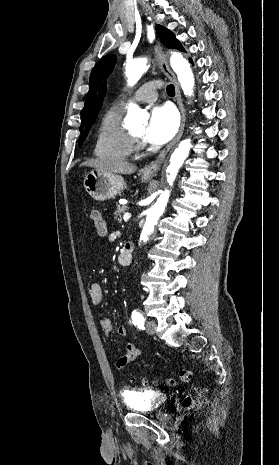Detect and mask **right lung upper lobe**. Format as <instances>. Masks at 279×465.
I'll list each match as a JSON object with an SVG mask.
<instances>
[{
  "label": "right lung upper lobe",
  "instance_id": "right-lung-upper-lobe-1",
  "mask_svg": "<svg viewBox=\"0 0 279 465\" xmlns=\"http://www.w3.org/2000/svg\"><path fill=\"white\" fill-rule=\"evenodd\" d=\"M105 93H106V84L104 83L100 90H99V94L97 96V99H96V102H95V105H94V108L92 110V113H91V116L89 118V121H88V124H87V127L85 129V131L83 132V134L87 133L91 127V125L93 124V122L95 121L100 109H101V106H102V103H103V99H104V96H105Z\"/></svg>",
  "mask_w": 279,
  "mask_h": 465
}]
</instances>
